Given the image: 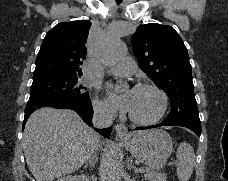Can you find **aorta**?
<instances>
[{
    "mask_svg": "<svg viewBox=\"0 0 228 181\" xmlns=\"http://www.w3.org/2000/svg\"><path fill=\"white\" fill-rule=\"evenodd\" d=\"M126 53V45L118 37L110 36L103 49V62L106 66H112L122 59ZM118 87H125V84L120 83ZM107 170L110 181H121L122 170L115 150H111L108 154Z\"/></svg>",
    "mask_w": 228,
    "mask_h": 181,
    "instance_id": "1",
    "label": "aorta"
}]
</instances>
